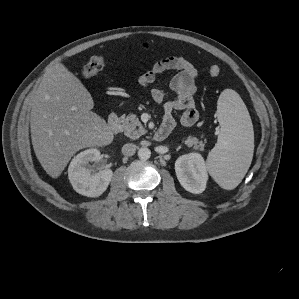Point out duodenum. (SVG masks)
I'll list each match as a JSON object with an SVG mask.
<instances>
[{"instance_id": "410a0bca", "label": "duodenum", "mask_w": 299, "mask_h": 299, "mask_svg": "<svg viewBox=\"0 0 299 299\" xmlns=\"http://www.w3.org/2000/svg\"><path fill=\"white\" fill-rule=\"evenodd\" d=\"M108 127H109V130L114 134H117L120 131V120H119V117L117 114L113 113L109 116ZM169 134L170 133L166 128L160 127L154 133V139L156 141H163L169 136Z\"/></svg>"}]
</instances>
